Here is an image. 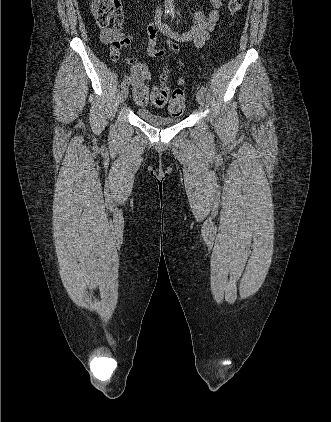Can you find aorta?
Returning a JSON list of instances; mask_svg holds the SVG:
<instances>
[{
  "label": "aorta",
  "mask_w": 331,
  "mask_h": 422,
  "mask_svg": "<svg viewBox=\"0 0 331 422\" xmlns=\"http://www.w3.org/2000/svg\"><path fill=\"white\" fill-rule=\"evenodd\" d=\"M173 2H174V0H165L164 1L165 11L172 12L174 10Z\"/></svg>",
  "instance_id": "obj_1"
}]
</instances>
